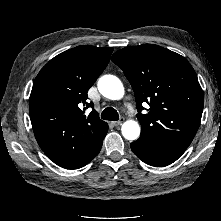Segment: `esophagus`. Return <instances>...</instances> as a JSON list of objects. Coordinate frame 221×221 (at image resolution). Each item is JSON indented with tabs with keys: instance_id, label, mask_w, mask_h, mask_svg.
Returning a JSON list of instances; mask_svg holds the SVG:
<instances>
[{
	"instance_id": "esophagus-1",
	"label": "esophagus",
	"mask_w": 221,
	"mask_h": 221,
	"mask_svg": "<svg viewBox=\"0 0 221 221\" xmlns=\"http://www.w3.org/2000/svg\"><path fill=\"white\" fill-rule=\"evenodd\" d=\"M123 122H124V118H120V120L114 121V122H112V124H113L114 126H119V125H121Z\"/></svg>"
}]
</instances>
